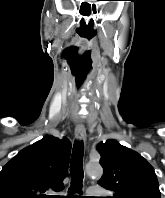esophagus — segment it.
Instances as JSON below:
<instances>
[{"label": "esophagus", "mask_w": 165, "mask_h": 198, "mask_svg": "<svg viewBox=\"0 0 165 198\" xmlns=\"http://www.w3.org/2000/svg\"><path fill=\"white\" fill-rule=\"evenodd\" d=\"M75 137L78 141L86 140V129L83 124H77L75 127Z\"/></svg>", "instance_id": "obj_1"}]
</instances>
